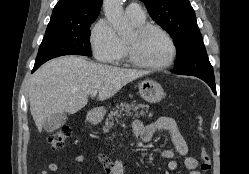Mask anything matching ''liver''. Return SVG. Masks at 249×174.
Returning a JSON list of instances; mask_svg holds the SVG:
<instances>
[{
  "label": "liver",
  "instance_id": "obj_1",
  "mask_svg": "<svg viewBox=\"0 0 249 174\" xmlns=\"http://www.w3.org/2000/svg\"><path fill=\"white\" fill-rule=\"evenodd\" d=\"M147 74V71L95 63L79 56L53 59L31 77L28 93L35 125L41 131L50 115L74 114L84 108L92 91H98V100L104 101L124 85Z\"/></svg>",
  "mask_w": 249,
  "mask_h": 174
}]
</instances>
